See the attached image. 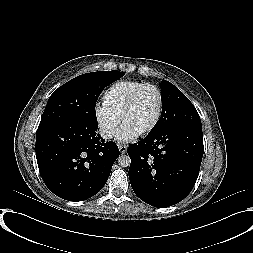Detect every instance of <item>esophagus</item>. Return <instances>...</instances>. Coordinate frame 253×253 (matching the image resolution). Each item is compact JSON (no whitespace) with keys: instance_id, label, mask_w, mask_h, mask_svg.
Returning a JSON list of instances; mask_svg holds the SVG:
<instances>
[{"instance_id":"34e87169","label":"esophagus","mask_w":253,"mask_h":253,"mask_svg":"<svg viewBox=\"0 0 253 253\" xmlns=\"http://www.w3.org/2000/svg\"><path fill=\"white\" fill-rule=\"evenodd\" d=\"M118 148H119L121 154H125L127 152V145L118 144Z\"/></svg>"}]
</instances>
